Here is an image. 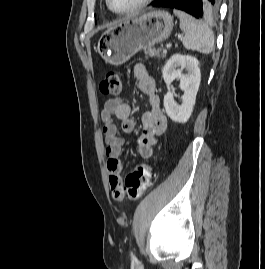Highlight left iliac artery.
<instances>
[{
    "label": "left iliac artery",
    "instance_id": "obj_1",
    "mask_svg": "<svg viewBox=\"0 0 265 269\" xmlns=\"http://www.w3.org/2000/svg\"><path fill=\"white\" fill-rule=\"evenodd\" d=\"M132 259H133V260H136V257H135L133 254H132Z\"/></svg>",
    "mask_w": 265,
    "mask_h": 269
}]
</instances>
